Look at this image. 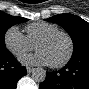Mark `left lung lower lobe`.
Returning a JSON list of instances; mask_svg holds the SVG:
<instances>
[{
  "label": "left lung lower lobe",
  "mask_w": 89,
  "mask_h": 89,
  "mask_svg": "<svg viewBox=\"0 0 89 89\" xmlns=\"http://www.w3.org/2000/svg\"><path fill=\"white\" fill-rule=\"evenodd\" d=\"M40 89H89V52L72 57L59 71L46 72Z\"/></svg>",
  "instance_id": "1"
}]
</instances>
